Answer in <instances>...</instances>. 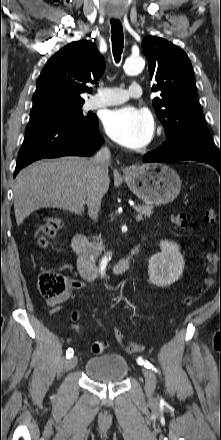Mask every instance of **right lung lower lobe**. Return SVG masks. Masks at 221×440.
I'll list each match as a JSON object with an SVG mask.
<instances>
[{"label": "right lung lower lobe", "instance_id": "98d812e1", "mask_svg": "<svg viewBox=\"0 0 221 440\" xmlns=\"http://www.w3.org/2000/svg\"><path fill=\"white\" fill-rule=\"evenodd\" d=\"M102 143L97 117L88 124H69L59 120L29 123L18 153L14 177L36 160L66 155L89 156Z\"/></svg>", "mask_w": 221, "mask_h": 440}]
</instances>
